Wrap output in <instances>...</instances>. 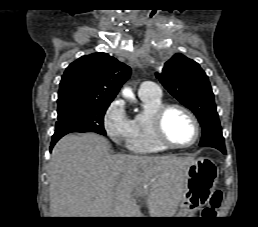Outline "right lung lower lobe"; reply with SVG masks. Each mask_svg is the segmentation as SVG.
I'll use <instances>...</instances> for the list:
<instances>
[{
  "instance_id": "1",
  "label": "right lung lower lobe",
  "mask_w": 258,
  "mask_h": 227,
  "mask_svg": "<svg viewBox=\"0 0 258 227\" xmlns=\"http://www.w3.org/2000/svg\"><path fill=\"white\" fill-rule=\"evenodd\" d=\"M65 135V133L62 132H55L53 137H52V142H51V147H50V151L52 150L53 146L55 145V143Z\"/></svg>"
}]
</instances>
